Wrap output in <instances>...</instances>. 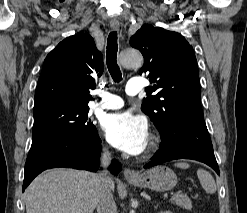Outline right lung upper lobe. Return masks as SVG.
I'll use <instances>...</instances> for the list:
<instances>
[{
  "instance_id": "obj_1",
  "label": "right lung upper lobe",
  "mask_w": 247,
  "mask_h": 213,
  "mask_svg": "<svg viewBox=\"0 0 247 213\" xmlns=\"http://www.w3.org/2000/svg\"><path fill=\"white\" fill-rule=\"evenodd\" d=\"M102 73L103 57L89 34L64 39L44 60L33 111L56 103L88 106Z\"/></svg>"
}]
</instances>
